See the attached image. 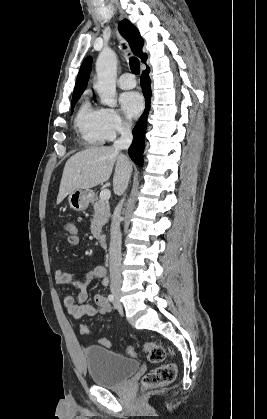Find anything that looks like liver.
Wrapping results in <instances>:
<instances>
[{
    "instance_id": "obj_1",
    "label": "liver",
    "mask_w": 267,
    "mask_h": 419,
    "mask_svg": "<svg viewBox=\"0 0 267 419\" xmlns=\"http://www.w3.org/2000/svg\"><path fill=\"white\" fill-rule=\"evenodd\" d=\"M113 188L121 194L132 165L129 159L111 146L90 147L71 156L64 167L57 204L75 190H88L109 180L113 167Z\"/></svg>"
}]
</instances>
